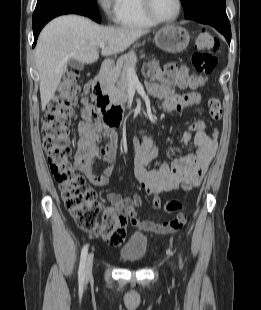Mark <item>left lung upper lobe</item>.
Listing matches in <instances>:
<instances>
[{"label":"left lung upper lobe","instance_id":"5c2ea615","mask_svg":"<svg viewBox=\"0 0 261 310\" xmlns=\"http://www.w3.org/2000/svg\"><path fill=\"white\" fill-rule=\"evenodd\" d=\"M185 18L202 22L204 20H228L225 0H181Z\"/></svg>","mask_w":261,"mask_h":310}]
</instances>
